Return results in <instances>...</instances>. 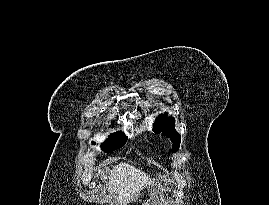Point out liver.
<instances>
[{
	"label": "liver",
	"mask_w": 269,
	"mask_h": 205,
	"mask_svg": "<svg viewBox=\"0 0 269 205\" xmlns=\"http://www.w3.org/2000/svg\"><path fill=\"white\" fill-rule=\"evenodd\" d=\"M151 182L150 175L128 163H119L110 171L109 188L117 194L116 205H127L136 201L139 192Z\"/></svg>",
	"instance_id": "6515ba94"
}]
</instances>
